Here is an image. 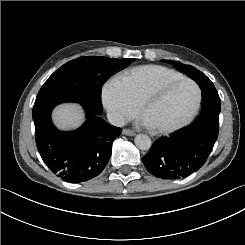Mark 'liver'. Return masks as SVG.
Wrapping results in <instances>:
<instances>
[{
  "mask_svg": "<svg viewBox=\"0 0 245 245\" xmlns=\"http://www.w3.org/2000/svg\"><path fill=\"white\" fill-rule=\"evenodd\" d=\"M53 120L59 129L76 128L84 121V113L78 104H63L53 111Z\"/></svg>",
  "mask_w": 245,
  "mask_h": 245,
  "instance_id": "6515ba94",
  "label": "liver"
}]
</instances>
